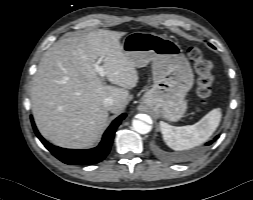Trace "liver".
Listing matches in <instances>:
<instances>
[{"label": "liver", "instance_id": "obj_1", "mask_svg": "<svg viewBox=\"0 0 253 200\" xmlns=\"http://www.w3.org/2000/svg\"><path fill=\"white\" fill-rule=\"evenodd\" d=\"M125 34L98 29L62 39L43 54L32 81L31 108L48 141L65 148H89L108 119L104 99L114 100L112 113L124 109L128 89L139 79L119 41ZM98 58L106 79L119 87L104 83L95 69Z\"/></svg>", "mask_w": 253, "mask_h": 200}]
</instances>
